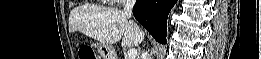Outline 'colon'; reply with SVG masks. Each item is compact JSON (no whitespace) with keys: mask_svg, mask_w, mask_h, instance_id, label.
<instances>
[{"mask_svg":"<svg viewBox=\"0 0 261 59\" xmlns=\"http://www.w3.org/2000/svg\"><path fill=\"white\" fill-rule=\"evenodd\" d=\"M80 59H96L94 51L90 48L84 47L79 52Z\"/></svg>","mask_w":261,"mask_h":59,"instance_id":"obj_1","label":"colon"}]
</instances>
